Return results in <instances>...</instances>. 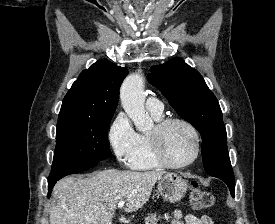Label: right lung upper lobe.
<instances>
[{"label":"right lung upper lobe","mask_w":275,"mask_h":224,"mask_svg":"<svg viewBox=\"0 0 275 224\" xmlns=\"http://www.w3.org/2000/svg\"><path fill=\"white\" fill-rule=\"evenodd\" d=\"M128 70L101 59L81 72L63 99L58 121L113 116Z\"/></svg>","instance_id":"cb5924a9"}]
</instances>
